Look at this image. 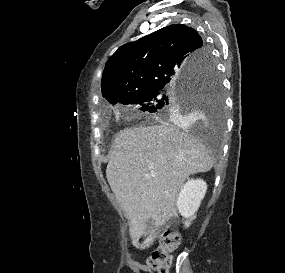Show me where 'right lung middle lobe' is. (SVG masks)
<instances>
[{
    "mask_svg": "<svg viewBox=\"0 0 285 273\" xmlns=\"http://www.w3.org/2000/svg\"><path fill=\"white\" fill-rule=\"evenodd\" d=\"M205 62L201 72L187 78V85L181 84V81L174 85H160L121 103L137 104L143 112L171 119L197 109H205L214 116L216 131L220 133L224 127L222 82L208 49Z\"/></svg>",
    "mask_w": 285,
    "mask_h": 273,
    "instance_id": "obj_1",
    "label": "right lung middle lobe"
}]
</instances>
